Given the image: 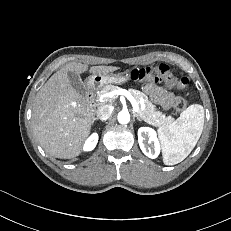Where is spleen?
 I'll use <instances>...</instances> for the list:
<instances>
[{
    "instance_id": "1",
    "label": "spleen",
    "mask_w": 231,
    "mask_h": 231,
    "mask_svg": "<svg viewBox=\"0 0 231 231\" xmlns=\"http://www.w3.org/2000/svg\"><path fill=\"white\" fill-rule=\"evenodd\" d=\"M204 126V108L193 104L180 117L167 126L158 129L163 147V162L175 165L183 161L197 144Z\"/></svg>"
}]
</instances>
